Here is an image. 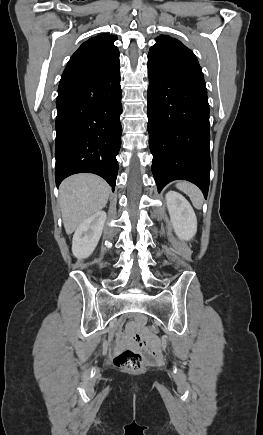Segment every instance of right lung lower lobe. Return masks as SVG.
I'll return each mask as SVG.
<instances>
[{"mask_svg":"<svg viewBox=\"0 0 263 435\" xmlns=\"http://www.w3.org/2000/svg\"><path fill=\"white\" fill-rule=\"evenodd\" d=\"M120 66L102 76L58 88L55 179L76 173L103 177L114 191L122 127Z\"/></svg>","mask_w":263,"mask_h":435,"instance_id":"right-lung-lower-lobe-1","label":"right lung lower lobe"}]
</instances>
